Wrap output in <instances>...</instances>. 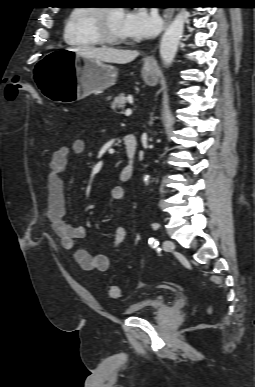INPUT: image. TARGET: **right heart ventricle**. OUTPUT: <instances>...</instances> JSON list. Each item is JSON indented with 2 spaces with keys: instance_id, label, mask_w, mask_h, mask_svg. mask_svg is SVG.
Returning a JSON list of instances; mask_svg holds the SVG:
<instances>
[{
  "instance_id": "e07e8e85",
  "label": "right heart ventricle",
  "mask_w": 255,
  "mask_h": 387,
  "mask_svg": "<svg viewBox=\"0 0 255 387\" xmlns=\"http://www.w3.org/2000/svg\"><path fill=\"white\" fill-rule=\"evenodd\" d=\"M92 6L74 7L64 24V41L75 48H92L103 43L94 29V13Z\"/></svg>"
}]
</instances>
